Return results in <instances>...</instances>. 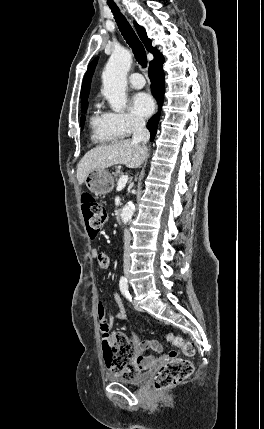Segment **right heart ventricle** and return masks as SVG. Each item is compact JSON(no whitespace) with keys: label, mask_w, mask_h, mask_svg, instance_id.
<instances>
[{"label":"right heart ventricle","mask_w":264,"mask_h":429,"mask_svg":"<svg viewBox=\"0 0 264 429\" xmlns=\"http://www.w3.org/2000/svg\"><path fill=\"white\" fill-rule=\"evenodd\" d=\"M90 129L92 140L97 143H110L117 141L121 136L114 129L108 112L102 111L96 105L90 117Z\"/></svg>","instance_id":"obj_1"}]
</instances>
